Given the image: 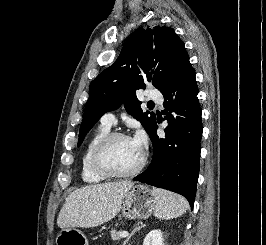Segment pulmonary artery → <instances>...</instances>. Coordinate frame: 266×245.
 I'll return each instance as SVG.
<instances>
[{
  "instance_id": "obj_1",
  "label": "pulmonary artery",
  "mask_w": 266,
  "mask_h": 245,
  "mask_svg": "<svg viewBox=\"0 0 266 245\" xmlns=\"http://www.w3.org/2000/svg\"><path fill=\"white\" fill-rule=\"evenodd\" d=\"M149 95L152 96L151 97V100L152 101H159L160 100V97H159V91H150L149 92ZM101 123L103 124H106V125H109V126H112L115 121H116V118H115V115L113 113H105L102 117H101Z\"/></svg>"
}]
</instances>
